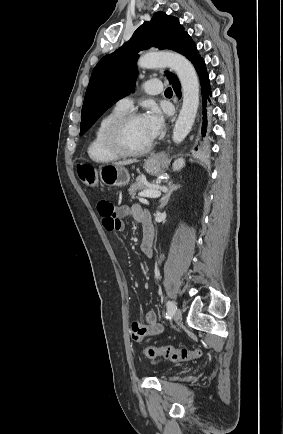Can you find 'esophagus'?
Returning <instances> with one entry per match:
<instances>
[{
	"instance_id": "esophagus-1",
	"label": "esophagus",
	"mask_w": 283,
	"mask_h": 434,
	"mask_svg": "<svg viewBox=\"0 0 283 434\" xmlns=\"http://www.w3.org/2000/svg\"><path fill=\"white\" fill-rule=\"evenodd\" d=\"M165 156H166L165 152L162 151L156 155V158L160 159V158H164Z\"/></svg>"
}]
</instances>
